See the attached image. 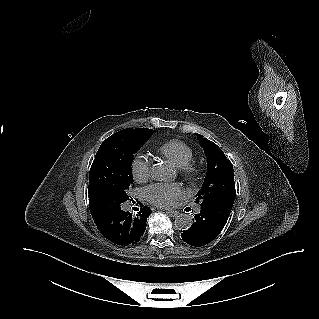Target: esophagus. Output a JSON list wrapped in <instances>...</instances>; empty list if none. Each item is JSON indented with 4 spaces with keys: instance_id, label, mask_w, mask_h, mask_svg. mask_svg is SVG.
Wrapping results in <instances>:
<instances>
[{
    "instance_id": "34e87169",
    "label": "esophagus",
    "mask_w": 319,
    "mask_h": 319,
    "mask_svg": "<svg viewBox=\"0 0 319 319\" xmlns=\"http://www.w3.org/2000/svg\"><path fill=\"white\" fill-rule=\"evenodd\" d=\"M166 213H167L170 217H176V216H178V214H179L178 211H174V210H166Z\"/></svg>"
}]
</instances>
